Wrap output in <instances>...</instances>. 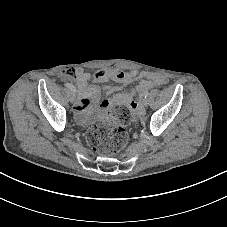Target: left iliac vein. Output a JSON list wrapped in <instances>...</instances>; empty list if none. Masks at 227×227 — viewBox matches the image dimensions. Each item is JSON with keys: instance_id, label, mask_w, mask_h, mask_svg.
<instances>
[{"instance_id": "left-iliac-vein-1", "label": "left iliac vein", "mask_w": 227, "mask_h": 227, "mask_svg": "<svg viewBox=\"0 0 227 227\" xmlns=\"http://www.w3.org/2000/svg\"><path fill=\"white\" fill-rule=\"evenodd\" d=\"M148 104H149V100H148L147 98H145V99L142 101V105H143L144 107H146V106H148Z\"/></svg>"}]
</instances>
